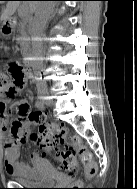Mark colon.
Listing matches in <instances>:
<instances>
[{
    "instance_id": "colon-1",
    "label": "colon",
    "mask_w": 137,
    "mask_h": 189,
    "mask_svg": "<svg viewBox=\"0 0 137 189\" xmlns=\"http://www.w3.org/2000/svg\"><path fill=\"white\" fill-rule=\"evenodd\" d=\"M24 79V70L15 63L9 64L6 71L0 70V97L14 96ZM21 114L30 123L38 125V131L32 134V139L46 152H52L59 163V168L68 176H74L77 157L85 167L88 177L96 174V164L91 153L81 144L78 138H68L67 130L59 124L48 123L39 111H30L29 106L20 108ZM14 138H26L30 134L21 120H14L10 126Z\"/></svg>"
}]
</instances>
